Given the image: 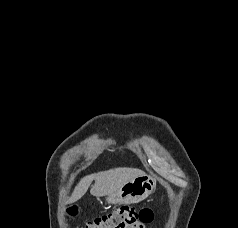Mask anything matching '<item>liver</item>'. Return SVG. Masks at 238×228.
Wrapping results in <instances>:
<instances>
[{"label": "liver", "instance_id": "1", "mask_svg": "<svg viewBox=\"0 0 238 228\" xmlns=\"http://www.w3.org/2000/svg\"><path fill=\"white\" fill-rule=\"evenodd\" d=\"M143 174L145 173L140 169L124 167L85 176L75 187L71 197L68 199V203H74L81 199L87 192L93 180L94 184L90 189V193L95 197H102L113 195L126 182Z\"/></svg>", "mask_w": 238, "mask_h": 228}]
</instances>
